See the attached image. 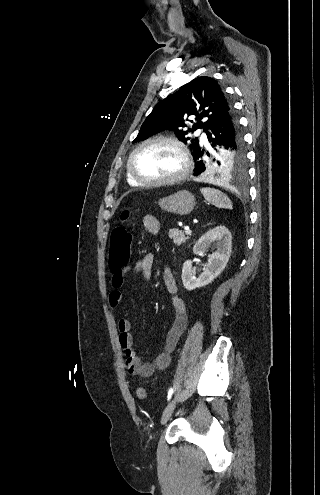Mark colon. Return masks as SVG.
Here are the masks:
<instances>
[{
    "label": "colon",
    "instance_id": "1",
    "mask_svg": "<svg viewBox=\"0 0 320 495\" xmlns=\"http://www.w3.org/2000/svg\"><path fill=\"white\" fill-rule=\"evenodd\" d=\"M128 217V211H124L122 219ZM132 234L122 225L113 228L109 237V265L113 272H119L125 268L131 255ZM136 396L140 400H145L147 392L144 387H138Z\"/></svg>",
    "mask_w": 320,
    "mask_h": 495
}]
</instances>
